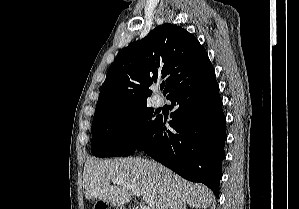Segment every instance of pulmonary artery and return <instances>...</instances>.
I'll use <instances>...</instances> for the list:
<instances>
[{"instance_id":"pulmonary-artery-1","label":"pulmonary artery","mask_w":299,"mask_h":209,"mask_svg":"<svg viewBox=\"0 0 299 209\" xmlns=\"http://www.w3.org/2000/svg\"><path fill=\"white\" fill-rule=\"evenodd\" d=\"M154 105H155L156 107L160 106V105H161V100H160V99H155V100H154Z\"/></svg>"}]
</instances>
